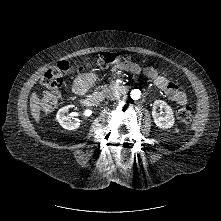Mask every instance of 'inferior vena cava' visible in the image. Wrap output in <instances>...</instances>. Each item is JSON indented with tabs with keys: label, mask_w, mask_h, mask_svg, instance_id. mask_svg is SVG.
<instances>
[{
	"label": "inferior vena cava",
	"mask_w": 221,
	"mask_h": 221,
	"mask_svg": "<svg viewBox=\"0 0 221 221\" xmlns=\"http://www.w3.org/2000/svg\"><path fill=\"white\" fill-rule=\"evenodd\" d=\"M121 94L119 92H111L107 95V98L110 100H116L119 99Z\"/></svg>",
	"instance_id": "inferior-vena-cava-1"
}]
</instances>
